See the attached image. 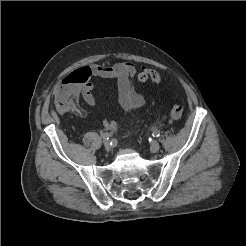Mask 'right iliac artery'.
I'll list each match as a JSON object with an SVG mask.
<instances>
[{
	"label": "right iliac artery",
	"mask_w": 246,
	"mask_h": 246,
	"mask_svg": "<svg viewBox=\"0 0 246 246\" xmlns=\"http://www.w3.org/2000/svg\"><path fill=\"white\" fill-rule=\"evenodd\" d=\"M102 137L104 138V139H109V137H110V134L109 133H103L102 134ZM112 144V143H111Z\"/></svg>",
	"instance_id": "82829eb1"
}]
</instances>
